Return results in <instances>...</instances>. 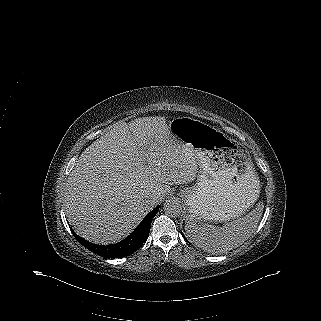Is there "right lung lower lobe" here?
Returning <instances> with one entry per match:
<instances>
[{"instance_id":"obj_1","label":"right lung lower lobe","mask_w":321,"mask_h":321,"mask_svg":"<svg viewBox=\"0 0 321 321\" xmlns=\"http://www.w3.org/2000/svg\"><path fill=\"white\" fill-rule=\"evenodd\" d=\"M159 210L153 209L138 225V227L124 240L109 246H99L79 237L72 229V233L79 243L95 254L105 258H120L136 251L148 238L152 219Z\"/></svg>"}]
</instances>
